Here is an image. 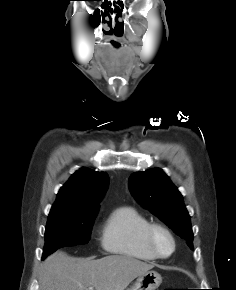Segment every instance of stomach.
Here are the masks:
<instances>
[{
	"instance_id": "stomach-1",
	"label": "stomach",
	"mask_w": 236,
	"mask_h": 290,
	"mask_svg": "<svg viewBox=\"0 0 236 290\" xmlns=\"http://www.w3.org/2000/svg\"><path fill=\"white\" fill-rule=\"evenodd\" d=\"M162 282V277L156 271H148L140 275L128 290H156Z\"/></svg>"
}]
</instances>
